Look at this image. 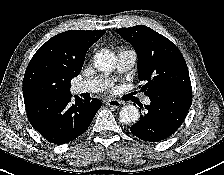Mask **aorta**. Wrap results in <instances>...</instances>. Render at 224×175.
I'll return each mask as SVG.
<instances>
[{"instance_id": "1", "label": "aorta", "mask_w": 224, "mask_h": 175, "mask_svg": "<svg viewBox=\"0 0 224 175\" xmlns=\"http://www.w3.org/2000/svg\"><path fill=\"white\" fill-rule=\"evenodd\" d=\"M117 65L115 55L110 51L99 52L94 56V66L102 72H112ZM121 122L133 124L139 121L140 114L134 105H125L119 112Z\"/></svg>"}]
</instances>
